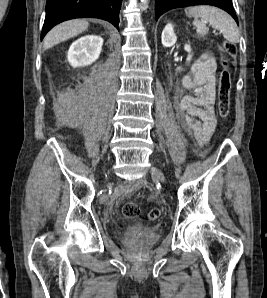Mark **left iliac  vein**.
<instances>
[{
  "label": "left iliac vein",
  "instance_id": "obj_1",
  "mask_svg": "<svg viewBox=\"0 0 267 298\" xmlns=\"http://www.w3.org/2000/svg\"><path fill=\"white\" fill-rule=\"evenodd\" d=\"M151 174L153 177L157 178L161 182H165V176H164L163 172L160 169H158L157 167L153 166L151 168Z\"/></svg>",
  "mask_w": 267,
  "mask_h": 298
}]
</instances>
